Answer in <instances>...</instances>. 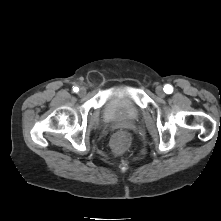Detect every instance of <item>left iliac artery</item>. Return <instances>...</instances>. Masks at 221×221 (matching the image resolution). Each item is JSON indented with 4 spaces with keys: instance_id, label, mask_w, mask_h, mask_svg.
<instances>
[{
    "instance_id": "1",
    "label": "left iliac artery",
    "mask_w": 221,
    "mask_h": 221,
    "mask_svg": "<svg viewBox=\"0 0 221 221\" xmlns=\"http://www.w3.org/2000/svg\"><path fill=\"white\" fill-rule=\"evenodd\" d=\"M164 92L167 94H171L173 92V87L169 84L164 86Z\"/></svg>"
}]
</instances>
